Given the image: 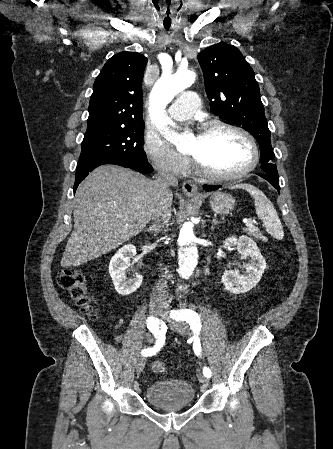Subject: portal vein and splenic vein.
I'll return each mask as SVG.
<instances>
[{
  "mask_svg": "<svg viewBox=\"0 0 333 449\" xmlns=\"http://www.w3.org/2000/svg\"><path fill=\"white\" fill-rule=\"evenodd\" d=\"M245 223H246V226H252L253 225V223L251 221H249V220H247Z\"/></svg>",
  "mask_w": 333,
  "mask_h": 449,
  "instance_id": "18ae733b",
  "label": "portal vein and splenic vein"
}]
</instances>
